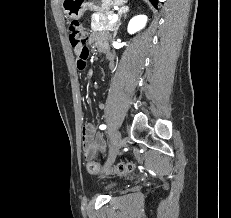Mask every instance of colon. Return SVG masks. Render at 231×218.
<instances>
[{
	"label": "colon",
	"mask_w": 231,
	"mask_h": 218,
	"mask_svg": "<svg viewBox=\"0 0 231 218\" xmlns=\"http://www.w3.org/2000/svg\"><path fill=\"white\" fill-rule=\"evenodd\" d=\"M68 36L71 46L74 48L80 47L81 49L77 58H82V56H87L88 58L89 50L85 45L88 39L86 28L79 21H70L68 23ZM86 167L91 174H98L103 170L98 162L92 160L87 162ZM105 170L111 174H126L134 170V164L131 162H120L112 168Z\"/></svg>",
	"instance_id": "obj_1"
}]
</instances>
